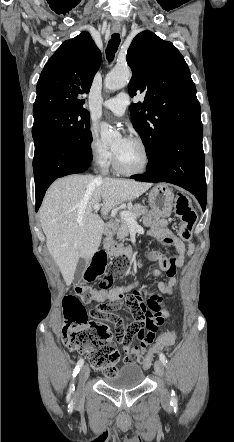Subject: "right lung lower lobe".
Segmentation results:
<instances>
[{
	"instance_id": "right-lung-lower-lobe-1",
	"label": "right lung lower lobe",
	"mask_w": 234,
	"mask_h": 442,
	"mask_svg": "<svg viewBox=\"0 0 234 442\" xmlns=\"http://www.w3.org/2000/svg\"><path fill=\"white\" fill-rule=\"evenodd\" d=\"M33 171L35 178L36 211L47 188L59 177L84 172L92 155L77 144L55 136L34 139Z\"/></svg>"
}]
</instances>
